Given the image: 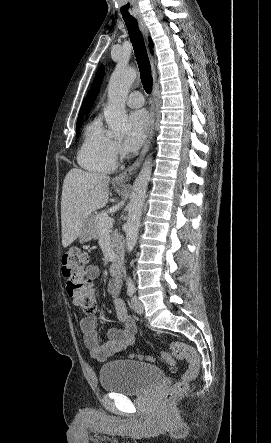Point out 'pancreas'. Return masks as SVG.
Instances as JSON below:
<instances>
[{
  "instance_id": "pancreas-1",
  "label": "pancreas",
  "mask_w": 271,
  "mask_h": 443,
  "mask_svg": "<svg viewBox=\"0 0 271 443\" xmlns=\"http://www.w3.org/2000/svg\"><path fill=\"white\" fill-rule=\"evenodd\" d=\"M106 216H108V212H105V210H103V212H99V214H96L93 220V227H94L93 237H95V239H98V237H100V233H102L103 229H105L104 225H100V218H106ZM107 229L111 235L112 245L113 247H116L115 239L118 233L116 229L115 231H112L110 227H107Z\"/></svg>"
}]
</instances>
